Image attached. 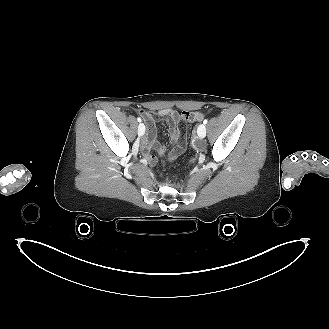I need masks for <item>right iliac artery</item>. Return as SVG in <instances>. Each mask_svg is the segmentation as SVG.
Listing matches in <instances>:
<instances>
[{
	"mask_svg": "<svg viewBox=\"0 0 329 329\" xmlns=\"http://www.w3.org/2000/svg\"><path fill=\"white\" fill-rule=\"evenodd\" d=\"M137 121H138V122H141L142 120H141V118H140V117H138V118H137Z\"/></svg>",
	"mask_w": 329,
	"mask_h": 329,
	"instance_id": "82829eb1",
	"label": "right iliac artery"
}]
</instances>
